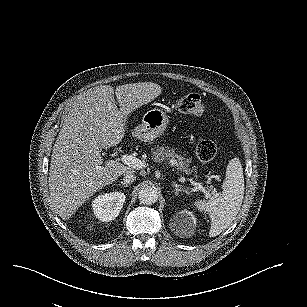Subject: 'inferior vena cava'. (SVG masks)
Here are the masks:
<instances>
[{"instance_id": "1", "label": "inferior vena cava", "mask_w": 307, "mask_h": 307, "mask_svg": "<svg viewBox=\"0 0 307 307\" xmlns=\"http://www.w3.org/2000/svg\"><path fill=\"white\" fill-rule=\"evenodd\" d=\"M123 180L126 184H132L136 180V175L132 172L125 173Z\"/></svg>"}]
</instances>
